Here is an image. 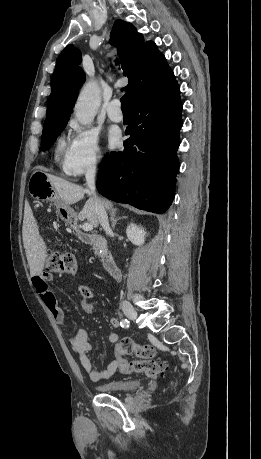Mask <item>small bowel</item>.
<instances>
[{"label": "small bowel", "mask_w": 261, "mask_h": 459, "mask_svg": "<svg viewBox=\"0 0 261 459\" xmlns=\"http://www.w3.org/2000/svg\"><path fill=\"white\" fill-rule=\"evenodd\" d=\"M52 280L53 276L50 273L42 272L36 275L32 281L35 290L51 312L52 316L58 323L62 324L65 321V315L59 306L54 293L49 288V282ZM77 289L82 298L85 300V310L89 313L92 312V306L86 302L93 297L92 291L89 287L82 284H77ZM110 323L114 328H119L121 326L119 320L115 317L110 318ZM108 339L111 343H116L119 340V335L117 333H111ZM69 341L72 349L79 356L81 366L87 372L92 381L98 382L103 379H107L118 369L119 357L117 355H115V358L110 363L106 364L102 369H96L93 367L92 360L89 356V352L92 350V345L89 334L86 330H77L70 336Z\"/></svg>", "instance_id": "obj_1"}]
</instances>
